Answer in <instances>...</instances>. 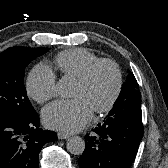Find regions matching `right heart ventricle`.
<instances>
[{"label":"right heart ventricle","mask_w":168,"mask_h":168,"mask_svg":"<svg viewBox=\"0 0 168 168\" xmlns=\"http://www.w3.org/2000/svg\"><path fill=\"white\" fill-rule=\"evenodd\" d=\"M97 59L99 57L88 49L73 48L60 52L55 64L64 76L78 78Z\"/></svg>","instance_id":"obj_1"}]
</instances>
